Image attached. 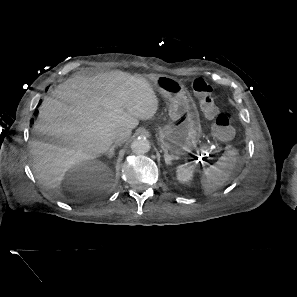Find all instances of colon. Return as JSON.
<instances>
[{
  "label": "colon",
  "mask_w": 297,
  "mask_h": 297,
  "mask_svg": "<svg viewBox=\"0 0 297 297\" xmlns=\"http://www.w3.org/2000/svg\"><path fill=\"white\" fill-rule=\"evenodd\" d=\"M190 86L199 100L202 112L212 120L214 134L224 140L230 139L233 135L231 116L227 111H221L216 107L209 83L202 78H195Z\"/></svg>",
  "instance_id": "1"
}]
</instances>
